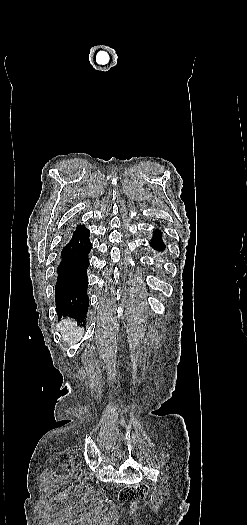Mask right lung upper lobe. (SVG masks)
I'll use <instances>...</instances> for the list:
<instances>
[{"label": "right lung upper lobe", "mask_w": 247, "mask_h": 525, "mask_svg": "<svg viewBox=\"0 0 247 525\" xmlns=\"http://www.w3.org/2000/svg\"><path fill=\"white\" fill-rule=\"evenodd\" d=\"M82 225H79L77 228L81 227Z\"/></svg>", "instance_id": "right-lung-upper-lobe-1"}]
</instances>
